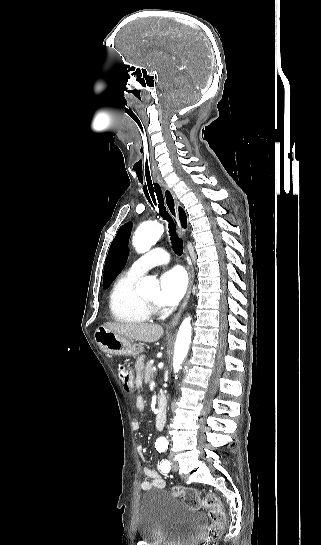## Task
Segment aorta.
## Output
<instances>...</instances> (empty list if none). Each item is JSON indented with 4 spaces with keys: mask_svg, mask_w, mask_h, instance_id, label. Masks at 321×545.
Instances as JSON below:
<instances>
[{
    "mask_svg": "<svg viewBox=\"0 0 321 545\" xmlns=\"http://www.w3.org/2000/svg\"><path fill=\"white\" fill-rule=\"evenodd\" d=\"M164 233V227L155 222L142 223L133 236V246L139 253H145L160 239ZM157 286V281L154 277L148 276L143 278L140 283V290L142 292H148L150 289ZM191 318H186L179 327L174 356H173V368L175 372H178L181 363L185 359L192 336V327L190 324ZM160 442H166L165 438H159Z\"/></svg>",
    "mask_w": 321,
    "mask_h": 545,
    "instance_id": "obj_1",
    "label": "aorta"
}]
</instances>
